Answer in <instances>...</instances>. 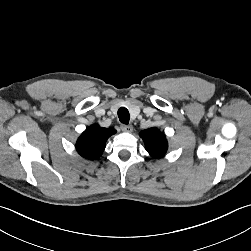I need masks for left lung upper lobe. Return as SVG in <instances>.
Masks as SVG:
<instances>
[{"label": "left lung upper lobe", "instance_id": "5c2ea615", "mask_svg": "<svg viewBox=\"0 0 251 251\" xmlns=\"http://www.w3.org/2000/svg\"><path fill=\"white\" fill-rule=\"evenodd\" d=\"M140 137L145 143L147 152L154 158L162 157L167 149L168 143L165 135L156 128H150L140 132Z\"/></svg>", "mask_w": 251, "mask_h": 251}]
</instances>
